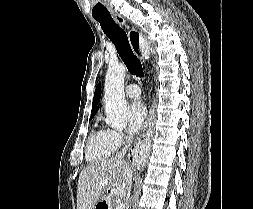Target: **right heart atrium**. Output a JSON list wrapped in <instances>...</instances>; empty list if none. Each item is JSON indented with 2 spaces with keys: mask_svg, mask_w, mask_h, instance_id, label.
Listing matches in <instances>:
<instances>
[{
  "mask_svg": "<svg viewBox=\"0 0 253 209\" xmlns=\"http://www.w3.org/2000/svg\"><path fill=\"white\" fill-rule=\"evenodd\" d=\"M109 138H110L112 145L115 148L124 144L126 142V140L128 139V137L126 136V134L123 131L117 130V129H110L109 130Z\"/></svg>",
  "mask_w": 253,
  "mask_h": 209,
  "instance_id": "d8ad5b80",
  "label": "right heart atrium"
}]
</instances>
